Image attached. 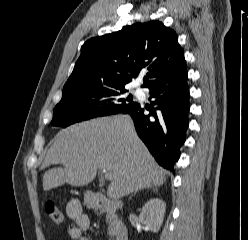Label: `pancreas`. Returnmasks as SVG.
Listing matches in <instances>:
<instances>
[{"instance_id": "1", "label": "pancreas", "mask_w": 248, "mask_h": 240, "mask_svg": "<svg viewBox=\"0 0 248 240\" xmlns=\"http://www.w3.org/2000/svg\"><path fill=\"white\" fill-rule=\"evenodd\" d=\"M107 221L109 223V228H108V235L110 236V238L114 237L117 233V221H115V216L112 214H108L106 216Z\"/></svg>"}]
</instances>
